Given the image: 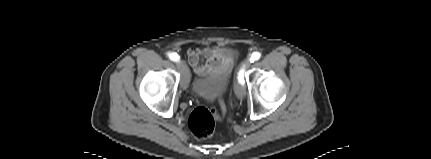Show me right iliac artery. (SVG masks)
Masks as SVG:
<instances>
[{"mask_svg": "<svg viewBox=\"0 0 431 159\" xmlns=\"http://www.w3.org/2000/svg\"><path fill=\"white\" fill-rule=\"evenodd\" d=\"M168 56L172 61H178L180 59V57L176 53H169Z\"/></svg>", "mask_w": 431, "mask_h": 159, "instance_id": "right-iliac-artery-1", "label": "right iliac artery"}]
</instances>
